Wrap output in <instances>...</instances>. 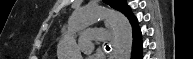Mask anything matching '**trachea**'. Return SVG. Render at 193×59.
<instances>
[{"label":"trachea","mask_w":193,"mask_h":59,"mask_svg":"<svg viewBox=\"0 0 193 59\" xmlns=\"http://www.w3.org/2000/svg\"><path fill=\"white\" fill-rule=\"evenodd\" d=\"M106 50H110V47H109V45H106Z\"/></svg>","instance_id":"3493384b"}]
</instances>
